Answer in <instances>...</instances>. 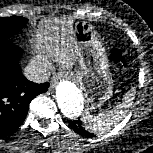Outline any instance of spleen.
Returning <instances> with one entry per match:
<instances>
[{"label": "spleen", "mask_w": 153, "mask_h": 153, "mask_svg": "<svg viewBox=\"0 0 153 153\" xmlns=\"http://www.w3.org/2000/svg\"><path fill=\"white\" fill-rule=\"evenodd\" d=\"M134 100V89L126 93L122 102L118 103L112 110L99 113L96 116L91 115L88 111L84 113V127L93 133L104 134L113 126H116L128 112V108L132 106Z\"/></svg>", "instance_id": "obj_1"}]
</instances>
